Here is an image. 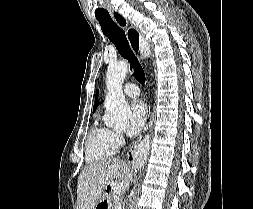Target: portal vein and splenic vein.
<instances>
[{
    "label": "portal vein and splenic vein",
    "instance_id": "18ae733b",
    "mask_svg": "<svg viewBox=\"0 0 253 209\" xmlns=\"http://www.w3.org/2000/svg\"><path fill=\"white\" fill-rule=\"evenodd\" d=\"M117 209H121V205H119V206L117 207Z\"/></svg>",
    "mask_w": 253,
    "mask_h": 209
}]
</instances>
